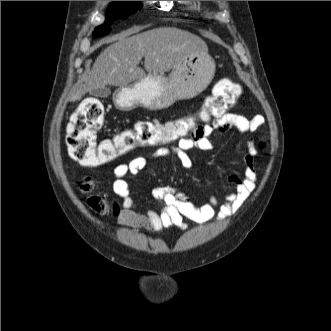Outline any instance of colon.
<instances>
[{"label":"colon","instance_id":"5ec220e1","mask_svg":"<svg viewBox=\"0 0 331 331\" xmlns=\"http://www.w3.org/2000/svg\"><path fill=\"white\" fill-rule=\"evenodd\" d=\"M240 95L241 87L237 83L229 79L220 80L198 118L206 122L223 116ZM103 123L102 103L95 98L84 100L68 126L66 143L72 159L85 166H99L137 147L175 142L198 127L194 118L166 122L148 119L138 121L132 128L98 143L95 134ZM83 189L89 190L90 184L85 183ZM88 205L96 211L104 209L103 200L96 196L88 199Z\"/></svg>","mask_w":331,"mask_h":331}]
</instances>
